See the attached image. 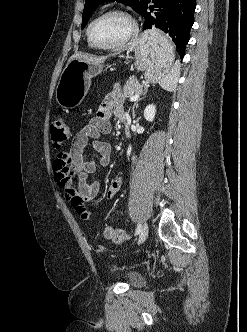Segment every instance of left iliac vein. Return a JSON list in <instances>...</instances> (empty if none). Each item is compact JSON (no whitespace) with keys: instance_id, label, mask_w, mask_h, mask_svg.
I'll return each mask as SVG.
<instances>
[{"instance_id":"left-iliac-vein-1","label":"left iliac vein","mask_w":247,"mask_h":332,"mask_svg":"<svg viewBox=\"0 0 247 332\" xmlns=\"http://www.w3.org/2000/svg\"><path fill=\"white\" fill-rule=\"evenodd\" d=\"M147 236H148V224L144 223L139 233L138 244L143 243L146 240Z\"/></svg>"}]
</instances>
